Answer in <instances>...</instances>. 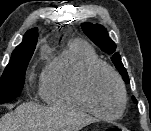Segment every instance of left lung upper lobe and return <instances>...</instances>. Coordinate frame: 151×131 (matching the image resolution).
<instances>
[{
    "label": "left lung upper lobe",
    "mask_w": 151,
    "mask_h": 131,
    "mask_svg": "<svg viewBox=\"0 0 151 131\" xmlns=\"http://www.w3.org/2000/svg\"><path fill=\"white\" fill-rule=\"evenodd\" d=\"M81 27L84 33L104 52L112 54L111 60L114 63L116 69L122 75L123 80L129 83L128 73L124 68L121 61V56L118 52H115L116 45L108 36L107 30L99 24L82 23ZM132 100L137 104L135 97Z\"/></svg>",
    "instance_id": "obj_1"
}]
</instances>
